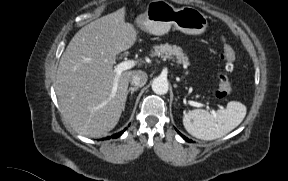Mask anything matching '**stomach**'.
I'll return each mask as SVG.
<instances>
[{"label": "stomach", "instance_id": "stomach-1", "mask_svg": "<svg viewBox=\"0 0 288 181\" xmlns=\"http://www.w3.org/2000/svg\"><path fill=\"white\" fill-rule=\"evenodd\" d=\"M136 22L142 30L153 35H164L172 26L185 34L199 35L208 25L207 17L199 10L192 7L176 9L164 0L151 1Z\"/></svg>", "mask_w": 288, "mask_h": 181}]
</instances>
